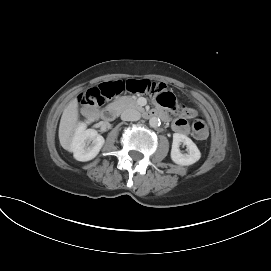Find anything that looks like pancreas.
Returning <instances> with one entry per match:
<instances>
[{"label":"pancreas","instance_id":"pancreas-1","mask_svg":"<svg viewBox=\"0 0 271 271\" xmlns=\"http://www.w3.org/2000/svg\"><path fill=\"white\" fill-rule=\"evenodd\" d=\"M111 105L117 107L120 111L126 110L128 108H134L143 111V108L137 104L136 99L132 97H121Z\"/></svg>","mask_w":271,"mask_h":271}]
</instances>
